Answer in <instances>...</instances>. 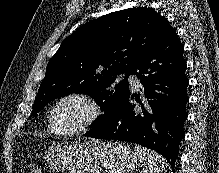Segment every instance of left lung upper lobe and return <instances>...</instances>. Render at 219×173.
Instances as JSON below:
<instances>
[{"label": "left lung upper lobe", "instance_id": "obj_1", "mask_svg": "<svg viewBox=\"0 0 219 173\" xmlns=\"http://www.w3.org/2000/svg\"><path fill=\"white\" fill-rule=\"evenodd\" d=\"M172 31L164 16L146 7L113 12L78 28L49 60L31 116L56 98L87 93L105 112L90 131L97 130L130 93L128 75L140 57ZM122 73L125 78L116 83Z\"/></svg>", "mask_w": 219, "mask_h": 173}]
</instances>
